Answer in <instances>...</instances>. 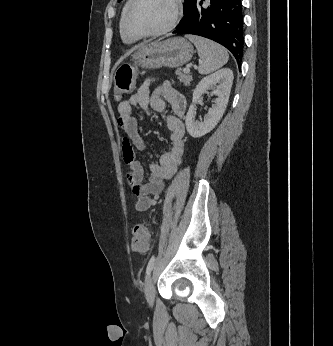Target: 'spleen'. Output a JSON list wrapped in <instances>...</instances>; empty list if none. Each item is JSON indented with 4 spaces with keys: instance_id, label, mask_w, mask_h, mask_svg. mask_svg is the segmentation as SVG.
Segmentation results:
<instances>
[{
    "instance_id": "obj_1",
    "label": "spleen",
    "mask_w": 333,
    "mask_h": 346,
    "mask_svg": "<svg viewBox=\"0 0 333 346\" xmlns=\"http://www.w3.org/2000/svg\"><path fill=\"white\" fill-rule=\"evenodd\" d=\"M186 37L194 43L198 50L200 74H209L227 63L229 55L222 46L200 36L188 35Z\"/></svg>"
}]
</instances>
